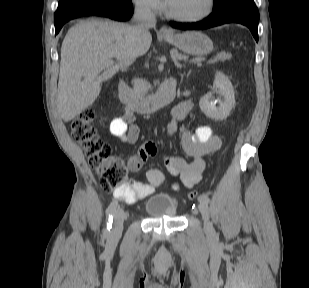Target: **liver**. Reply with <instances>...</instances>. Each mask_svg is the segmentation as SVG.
<instances>
[{"instance_id": "1", "label": "liver", "mask_w": 309, "mask_h": 288, "mask_svg": "<svg viewBox=\"0 0 309 288\" xmlns=\"http://www.w3.org/2000/svg\"><path fill=\"white\" fill-rule=\"evenodd\" d=\"M133 26L107 20L80 21L62 43L56 106L71 121L99 96L102 83L124 65L147 53L152 36L136 34ZM116 59L113 65L108 60Z\"/></svg>"}]
</instances>
